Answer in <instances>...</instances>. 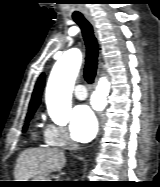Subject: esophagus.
<instances>
[{"instance_id":"esophagus-1","label":"esophagus","mask_w":160,"mask_h":187,"mask_svg":"<svg viewBox=\"0 0 160 187\" xmlns=\"http://www.w3.org/2000/svg\"><path fill=\"white\" fill-rule=\"evenodd\" d=\"M86 18H87V20H88L92 25H94V20H93V18H92L91 16L87 15Z\"/></svg>"}]
</instances>
